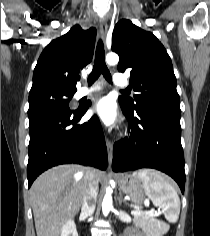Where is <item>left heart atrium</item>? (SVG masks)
Instances as JSON below:
<instances>
[{"label":"left heart atrium","instance_id":"obj_1","mask_svg":"<svg viewBox=\"0 0 210 236\" xmlns=\"http://www.w3.org/2000/svg\"><path fill=\"white\" fill-rule=\"evenodd\" d=\"M91 115L108 126L116 124L118 120L116 105L109 97L97 100L92 106Z\"/></svg>","mask_w":210,"mask_h":236}]
</instances>
